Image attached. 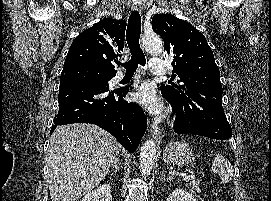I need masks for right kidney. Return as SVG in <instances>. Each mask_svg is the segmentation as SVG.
Returning a JSON list of instances; mask_svg holds the SVG:
<instances>
[{
	"label": "right kidney",
	"instance_id": "1",
	"mask_svg": "<svg viewBox=\"0 0 271 201\" xmlns=\"http://www.w3.org/2000/svg\"><path fill=\"white\" fill-rule=\"evenodd\" d=\"M81 201H112L110 185L102 184L97 189L87 193Z\"/></svg>",
	"mask_w": 271,
	"mask_h": 201
}]
</instances>
